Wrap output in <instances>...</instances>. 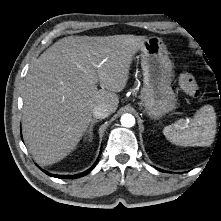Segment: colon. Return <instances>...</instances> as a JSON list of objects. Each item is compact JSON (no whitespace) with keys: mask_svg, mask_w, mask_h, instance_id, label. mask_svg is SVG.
Returning <instances> with one entry per match:
<instances>
[{"mask_svg":"<svg viewBox=\"0 0 221 221\" xmlns=\"http://www.w3.org/2000/svg\"><path fill=\"white\" fill-rule=\"evenodd\" d=\"M179 85L181 89L192 97H199L200 96V89L199 86L190 73H183L179 77Z\"/></svg>","mask_w":221,"mask_h":221,"instance_id":"5ec220e1","label":"colon"}]
</instances>
